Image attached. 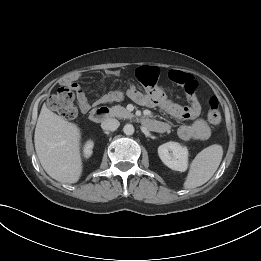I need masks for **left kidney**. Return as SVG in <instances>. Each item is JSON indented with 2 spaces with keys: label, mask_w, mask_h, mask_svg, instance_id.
Instances as JSON below:
<instances>
[{
  "label": "left kidney",
  "mask_w": 261,
  "mask_h": 261,
  "mask_svg": "<svg viewBox=\"0 0 261 261\" xmlns=\"http://www.w3.org/2000/svg\"><path fill=\"white\" fill-rule=\"evenodd\" d=\"M162 162L170 169L184 172L188 168V149L177 142H167L158 147Z\"/></svg>",
  "instance_id": "left-kidney-1"
}]
</instances>
